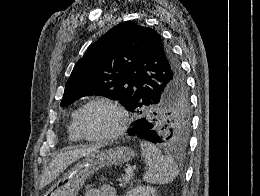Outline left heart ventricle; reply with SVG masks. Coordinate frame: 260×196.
Wrapping results in <instances>:
<instances>
[{
    "label": "left heart ventricle",
    "instance_id": "1",
    "mask_svg": "<svg viewBox=\"0 0 260 196\" xmlns=\"http://www.w3.org/2000/svg\"><path fill=\"white\" fill-rule=\"evenodd\" d=\"M116 110L105 103H93L80 116V126L86 135L101 136L113 131L119 125Z\"/></svg>",
    "mask_w": 260,
    "mask_h": 196
}]
</instances>
